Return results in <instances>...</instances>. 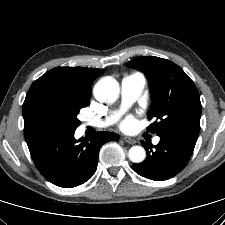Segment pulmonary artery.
<instances>
[{
	"mask_svg": "<svg viewBox=\"0 0 225 225\" xmlns=\"http://www.w3.org/2000/svg\"><path fill=\"white\" fill-rule=\"evenodd\" d=\"M145 84V77L141 73H133L122 79L121 96L124 107L131 105L140 97L145 88ZM114 120L115 116H111L102 121H88V124L95 127H105L111 124ZM159 141V137H156L153 140L154 144H157Z\"/></svg>",
	"mask_w": 225,
	"mask_h": 225,
	"instance_id": "pulmonary-artery-1",
	"label": "pulmonary artery"
}]
</instances>
